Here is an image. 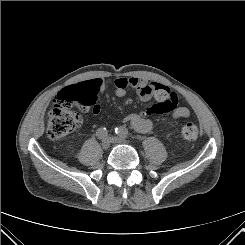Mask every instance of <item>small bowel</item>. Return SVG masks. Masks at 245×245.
I'll list each match as a JSON object with an SVG mask.
<instances>
[{
    "instance_id": "1",
    "label": "small bowel",
    "mask_w": 245,
    "mask_h": 245,
    "mask_svg": "<svg viewBox=\"0 0 245 245\" xmlns=\"http://www.w3.org/2000/svg\"><path fill=\"white\" fill-rule=\"evenodd\" d=\"M99 85V93L104 89L101 79H94ZM115 95L123 97L129 89L135 90L143 101L155 99L156 104L150 106L144 112H137L121 118L122 122L129 123L136 131L147 133L152 130L153 123L149 116L155 114H169L174 120L188 118L190 110L178 105V97L169 87L137 77H119L114 81ZM101 106L95 103L92 106L93 114H99Z\"/></svg>"
}]
</instances>
